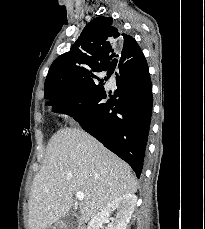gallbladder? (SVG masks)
<instances>
[{
    "instance_id": "bac80fb5",
    "label": "gallbladder",
    "mask_w": 205,
    "mask_h": 229,
    "mask_svg": "<svg viewBox=\"0 0 205 229\" xmlns=\"http://www.w3.org/2000/svg\"><path fill=\"white\" fill-rule=\"evenodd\" d=\"M76 223H77V216L74 215L69 216L67 225L72 227L75 226Z\"/></svg>"
}]
</instances>
